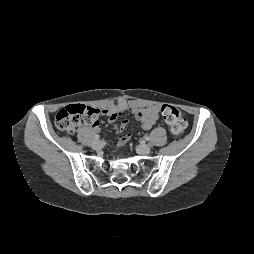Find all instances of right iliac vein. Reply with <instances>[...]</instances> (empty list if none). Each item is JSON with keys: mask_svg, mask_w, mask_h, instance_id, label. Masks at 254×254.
Segmentation results:
<instances>
[{"mask_svg": "<svg viewBox=\"0 0 254 254\" xmlns=\"http://www.w3.org/2000/svg\"><path fill=\"white\" fill-rule=\"evenodd\" d=\"M101 145H102L101 141L96 140V141L93 142L92 148H93V149H98V148L101 147Z\"/></svg>", "mask_w": 254, "mask_h": 254, "instance_id": "right-iliac-vein-1", "label": "right iliac vein"}]
</instances>
